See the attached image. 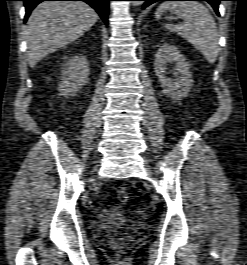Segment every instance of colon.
Segmentation results:
<instances>
[{
	"mask_svg": "<svg viewBox=\"0 0 247 265\" xmlns=\"http://www.w3.org/2000/svg\"><path fill=\"white\" fill-rule=\"evenodd\" d=\"M129 197H130V195H129V192L126 188L118 187L117 198L121 203H123V204L127 203L129 200Z\"/></svg>",
	"mask_w": 247,
	"mask_h": 265,
	"instance_id": "5ec220e1",
	"label": "colon"
}]
</instances>
